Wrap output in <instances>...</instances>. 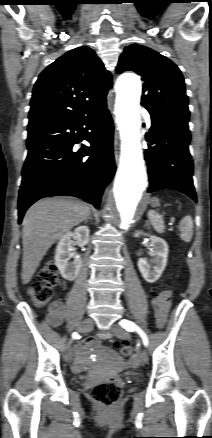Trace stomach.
Wrapping results in <instances>:
<instances>
[{
  "instance_id": "stomach-1",
  "label": "stomach",
  "mask_w": 212,
  "mask_h": 438,
  "mask_svg": "<svg viewBox=\"0 0 212 438\" xmlns=\"http://www.w3.org/2000/svg\"><path fill=\"white\" fill-rule=\"evenodd\" d=\"M151 204H152V206H157L159 204V200L157 198H152Z\"/></svg>"
}]
</instances>
